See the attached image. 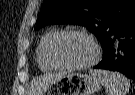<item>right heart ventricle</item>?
I'll return each mask as SVG.
<instances>
[{
  "label": "right heart ventricle",
  "mask_w": 135,
  "mask_h": 95,
  "mask_svg": "<svg viewBox=\"0 0 135 95\" xmlns=\"http://www.w3.org/2000/svg\"><path fill=\"white\" fill-rule=\"evenodd\" d=\"M56 33H58V30L56 29L46 32L40 39L36 49V59L38 66L42 71L45 72L57 69V67L53 66L47 58L48 44Z\"/></svg>",
  "instance_id": "obj_1"
}]
</instances>
